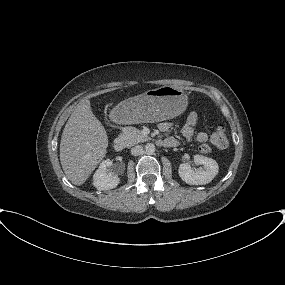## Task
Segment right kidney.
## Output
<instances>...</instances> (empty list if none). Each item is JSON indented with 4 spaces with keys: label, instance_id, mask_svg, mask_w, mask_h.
Masks as SVG:
<instances>
[{
    "label": "right kidney",
    "instance_id": "right-kidney-1",
    "mask_svg": "<svg viewBox=\"0 0 285 285\" xmlns=\"http://www.w3.org/2000/svg\"><path fill=\"white\" fill-rule=\"evenodd\" d=\"M112 165L110 159L104 160L100 163L98 169L93 175V185L97 190H110L116 188L120 183V178L118 175L112 172L107 173V168Z\"/></svg>",
    "mask_w": 285,
    "mask_h": 285
}]
</instances>
